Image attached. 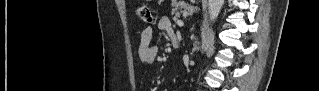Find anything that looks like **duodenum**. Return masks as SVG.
<instances>
[{
    "mask_svg": "<svg viewBox=\"0 0 319 91\" xmlns=\"http://www.w3.org/2000/svg\"><path fill=\"white\" fill-rule=\"evenodd\" d=\"M170 40H171L172 47L177 48L179 44H178V38L176 34L171 35Z\"/></svg>",
    "mask_w": 319,
    "mask_h": 91,
    "instance_id": "duodenum-1",
    "label": "duodenum"
}]
</instances>
